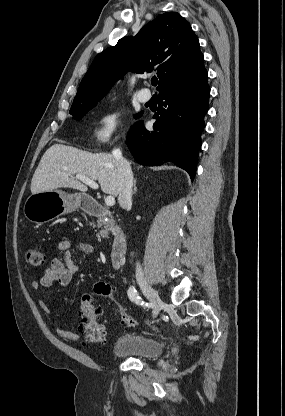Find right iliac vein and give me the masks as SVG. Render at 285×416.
<instances>
[{
  "label": "right iliac vein",
  "mask_w": 285,
  "mask_h": 416,
  "mask_svg": "<svg viewBox=\"0 0 285 416\" xmlns=\"http://www.w3.org/2000/svg\"><path fill=\"white\" fill-rule=\"evenodd\" d=\"M137 282L143 291L144 295L148 298V300L153 304L154 306V315L153 317L156 318L158 313L163 307V300L160 298L159 294L155 289L152 288V286L145 281L142 278H138Z\"/></svg>",
  "instance_id": "obj_1"
}]
</instances>
